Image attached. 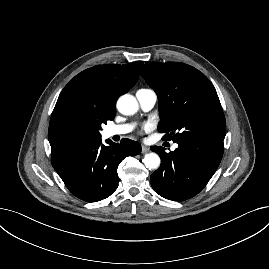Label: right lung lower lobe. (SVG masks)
<instances>
[{
  "label": "right lung lower lobe",
  "instance_id": "right-lung-lower-lobe-1",
  "mask_svg": "<svg viewBox=\"0 0 269 269\" xmlns=\"http://www.w3.org/2000/svg\"><path fill=\"white\" fill-rule=\"evenodd\" d=\"M101 138L51 155V163L69 191L86 202L101 201L118 187L117 167L128 156L140 154L141 145L130 139L120 144Z\"/></svg>",
  "mask_w": 269,
  "mask_h": 269
}]
</instances>
